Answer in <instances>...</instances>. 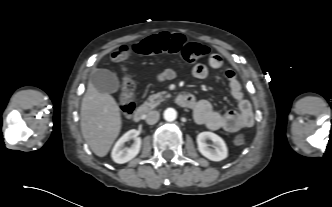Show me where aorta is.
I'll return each mask as SVG.
<instances>
[{
	"mask_svg": "<svg viewBox=\"0 0 332 207\" xmlns=\"http://www.w3.org/2000/svg\"><path fill=\"white\" fill-rule=\"evenodd\" d=\"M163 116H164V119H165L166 121L171 122V121H174V120L176 119V117H177V112H176V110L173 109V108H167V109L164 111Z\"/></svg>",
	"mask_w": 332,
	"mask_h": 207,
	"instance_id": "762f6f07",
	"label": "aorta"
}]
</instances>
